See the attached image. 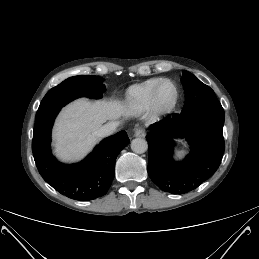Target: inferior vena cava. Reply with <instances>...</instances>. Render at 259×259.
Here are the masks:
<instances>
[{"label":"inferior vena cava","instance_id":"1","mask_svg":"<svg viewBox=\"0 0 259 259\" xmlns=\"http://www.w3.org/2000/svg\"><path fill=\"white\" fill-rule=\"evenodd\" d=\"M119 126V122L117 121H110L106 123L105 125L97 128L94 132L93 135L97 137H106L111 135L112 133L115 132L116 128Z\"/></svg>","mask_w":259,"mask_h":259}]
</instances>
